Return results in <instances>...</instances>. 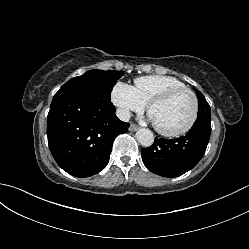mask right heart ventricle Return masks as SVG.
Masks as SVG:
<instances>
[{"mask_svg": "<svg viewBox=\"0 0 249 249\" xmlns=\"http://www.w3.org/2000/svg\"><path fill=\"white\" fill-rule=\"evenodd\" d=\"M135 90L139 97L148 104L158 95L174 89L186 87L185 84L173 76L167 75H147L134 80Z\"/></svg>", "mask_w": 249, "mask_h": 249, "instance_id": "e07e8e85", "label": "right heart ventricle"}]
</instances>
